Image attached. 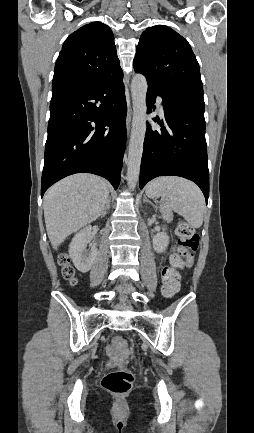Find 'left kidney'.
<instances>
[{
  "instance_id": "1",
  "label": "left kidney",
  "mask_w": 254,
  "mask_h": 433,
  "mask_svg": "<svg viewBox=\"0 0 254 433\" xmlns=\"http://www.w3.org/2000/svg\"><path fill=\"white\" fill-rule=\"evenodd\" d=\"M168 243L169 237L165 232V229H163V232L156 234L153 238V248L158 253L163 252L168 246Z\"/></svg>"
}]
</instances>
